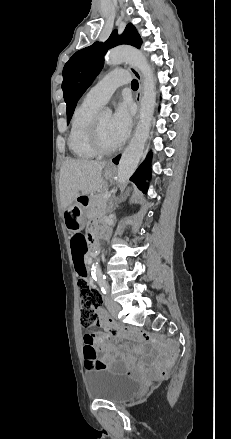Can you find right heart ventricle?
Returning <instances> with one entry per match:
<instances>
[{
    "instance_id": "e07e8e85",
    "label": "right heart ventricle",
    "mask_w": 231,
    "mask_h": 439,
    "mask_svg": "<svg viewBox=\"0 0 231 439\" xmlns=\"http://www.w3.org/2000/svg\"><path fill=\"white\" fill-rule=\"evenodd\" d=\"M99 107L100 105L85 98L73 113L68 135V147L78 159L88 160L97 155L91 145L89 131L91 121Z\"/></svg>"
}]
</instances>
